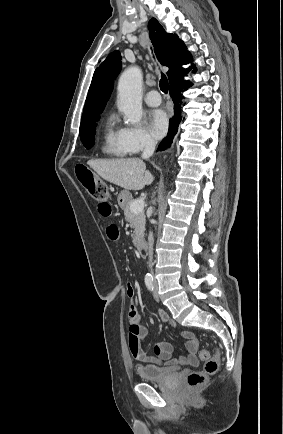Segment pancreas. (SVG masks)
<instances>
[{"label": "pancreas", "instance_id": "obj_1", "mask_svg": "<svg viewBox=\"0 0 283 434\" xmlns=\"http://www.w3.org/2000/svg\"><path fill=\"white\" fill-rule=\"evenodd\" d=\"M135 200H131L129 204L123 207L125 219L130 222L131 228L134 229L132 234L133 244L137 246L143 239L145 231V214L144 212L134 213L131 211L130 206Z\"/></svg>", "mask_w": 283, "mask_h": 434}]
</instances>
